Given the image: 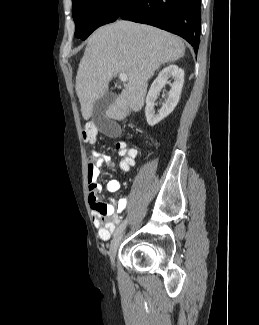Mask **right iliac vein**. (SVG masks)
Here are the masks:
<instances>
[{
  "label": "right iliac vein",
  "instance_id": "right-iliac-vein-1",
  "mask_svg": "<svg viewBox=\"0 0 259 325\" xmlns=\"http://www.w3.org/2000/svg\"><path fill=\"white\" fill-rule=\"evenodd\" d=\"M122 237H123V233H120L111 242L110 249H109V256H110L112 267H114L115 256L119 248V245L121 243Z\"/></svg>",
  "mask_w": 259,
  "mask_h": 325
}]
</instances>
